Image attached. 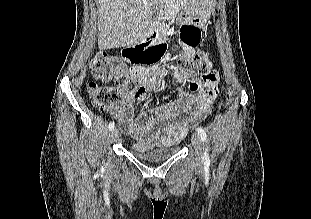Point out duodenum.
<instances>
[{"label": "duodenum", "mask_w": 311, "mask_h": 219, "mask_svg": "<svg viewBox=\"0 0 311 219\" xmlns=\"http://www.w3.org/2000/svg\"><path fill=\"white\" fill-rule=\"evenodd\" d=\"M164 42L161 39L160 32L156 29H153L148 32L144 40L135 46H132L128 49V52L135 56L141 55L146 52V54H151L157 49L164 48Z\"/></svg>", "instance_id": "obj_1"}]
</instances>
